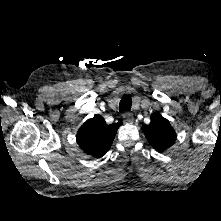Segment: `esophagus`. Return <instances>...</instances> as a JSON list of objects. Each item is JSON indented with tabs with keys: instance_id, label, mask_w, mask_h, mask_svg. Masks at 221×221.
Wrapping results in <instances>:
<instances>
[{
	"instance_id": "34e87169",
	"label": "esophagus",
	"mask_w": 221,
	"mask_h": 221,
	"mask_svg": "<svg viewBox=\"0 0 221 221\" xmlns=\"http://www.w3.org/2000/svg\"><path fill=\"white\" fill-rule=\"evenodd\" d=\"M123 119H124V121L126 122V123H133V121H134V116H133V114L132 113H130V112H125L124 114H123Z\"/></svg>"
}]
</instances>
